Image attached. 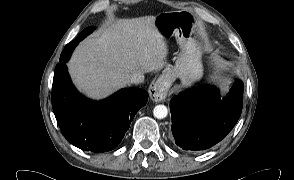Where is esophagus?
I'll list each match as a JSON object with an SVG mask.
<instances>
[{
  "instance_id": "34e87169",
  "label": "esophagus",
  "mask_w": 294,
  "mask_h": 180,
  "mask_svg": "<svg viewBox=\"0 0 294 180\" xmlns=\"http://www.w3.org/2000/svg\"><path fill=\"white\" fill-rule=\"evenodd\" d=\"M172 82L173 76L170 73L163 74L155 82H152L148 88L151 100L155 102H163Z\"/></svg>"
}]
</instances>
